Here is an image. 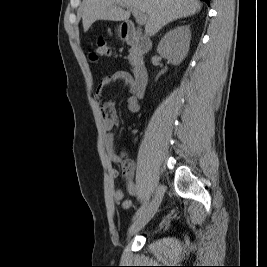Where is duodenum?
I'll use <instances>...</instances> for the list:
<instances>
[{
  "mask_svg": "<svg viewBox=\"0 0 267 267\" xmlns=\"http://www.w3.org/2000/svg\"><path fill=\"white\" fill-rule=\"evenodd\" d=\"M122 36L127 44L136 47L139 52H148L152 47L151 41L143 37L132 22L124 23ZM133 76V93L136 97L140 98L143 96L148 82V71L145 65L137 64L133 69Z\"/></svg>",
  "mask_w": 267,
  "mask_h": 267,
  "instance_id": "410a0bca",
  "label": "duodenum"
}]
</instances>
